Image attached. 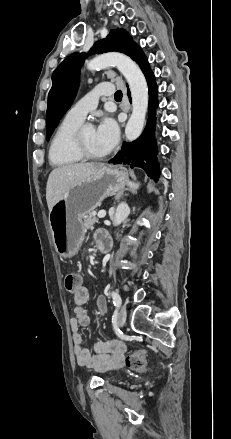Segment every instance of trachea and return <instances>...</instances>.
<instances>
[{
    "mask_svg": "<svg viewBox=\"0 0 231 439\" xmlns=\"http://www.w3.org/2000/svg\"><path fill=\"white\" fill-rule=\"evenodd\" d=\"M114 98H115L116 100H120V99H122V91H121V90H118V91L115 93Z\"/></svg>",
    "mask_w": 231,
    "mask_h": 439,
    "instance_id": "obj_1",
    "label": "trachea"
}]
</instances>
